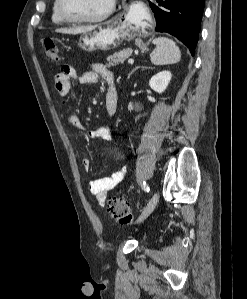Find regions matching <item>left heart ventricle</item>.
<instances>
[{
  "instance_id": "b2bd125f",
  "label": "left heart ventricle",
  "mask_w": 247,
  "mask_h": 299,
  "mask_svg": "<svg viewBox=\"0 0 247 299\" xmlns=\"http://www.w3.org/2000/svg\"><path fill=\"white\" fill-rule=\"evenodd\" d=\"M112 0H65L67 12L75 17H93L104 12Z\"/></svg>"
}]
</instances>
